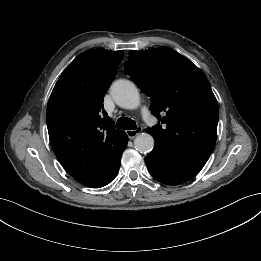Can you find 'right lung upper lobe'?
<instances>
[{"mask_svg": "<svg viewBox=\"0 0 261 261\" xmlns=\"http://www.w3.org/2000/svg\"><path fill=\"white\" fill-rule=\"evenodd\" d=\"M122 58L123 51L83 52L62 72L48 102L52 149L66 172L86 186L110 171L128 142L103 108Z\"/></svg>", "mask_w": 261, "mask_h": 261, "instance_id": "cb5924a9", "label": "right lung upper lobe"}]
</instances>
